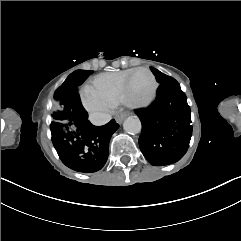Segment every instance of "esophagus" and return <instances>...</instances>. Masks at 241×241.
Listing matches in <instances>:
<instances>
[{"label": "esophagus", "mask_w": 241, "mask_h": 241, "mask_svg": "<svg viewBox=\"0 0 241 241\" xmlns=\"http://www.w3.org/2000/svg\"><path fill=\"white\" fill-rule=\"evenodd\" d=\"M129 115V113H123L119 116H116V121L117 123L121 124L122 121L124 120L125 117H127Z\"/></svg>", "instance_id": "34e87169"}]
</instances>
